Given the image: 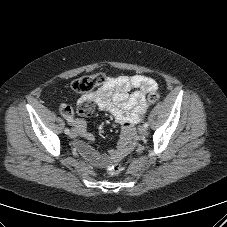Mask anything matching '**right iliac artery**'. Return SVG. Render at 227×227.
Here are the masks:
<instances>
[{"label":"right iliac artery","instance_id":"82829eb1","mask_svg":"<svg viewBox=\"0 0 227 227\" xmlns=\"http://www.w3.org/2000/svg\"><path fill=\"white\" fill-rule=\"evenodd\" d=\"M64 132H65V134H69L70 130L68 128H65Z\"/></svg>","mask_w":227,"mask_h":227}]
</instances>
